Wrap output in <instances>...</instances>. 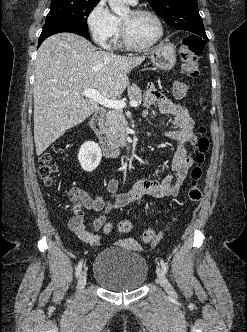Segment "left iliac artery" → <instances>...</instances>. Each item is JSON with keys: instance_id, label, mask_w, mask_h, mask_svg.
<instances>
[{"instance_id": "obj_1", "label": "left iliac artery", "mask_w": 247, "mask_h": 332, "mask_svg": "<svg viewBox=\"0 0 247 332\" xmlns=\"http://www.w3.org/2000/svg\"><path fill=\"white\" fill-rule=\"evenodd\" d=\"M161 266H162L163 271L166 273L168 267H167V264L162 259H161Z\"/></svg>"}]
</instances>
